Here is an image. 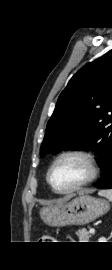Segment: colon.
<instances>
[{
  "mask_svg": "<svg viewBox=\"0 0 112 270\" xmlns=\"http://www.w3.org/2000/svg\"><path fill=\"white\" fill-rule=\"evenodd\" d=\"M50 236H44L43 239H50Z\"/></svg>",
  "mask_w": 112,
  "mask_h": 270,
  "instance_id": "5ec220e1",
  "label": "colon"
}]
</instances>
